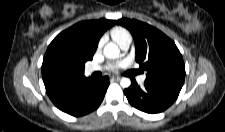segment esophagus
<instances>
[{"mask_svg": "<svg viewBox=\"0 0 225 132\" xmlns=\"http://www.w3.org/2000/svg\"><path fill=\"white\" fill-rule=\"evenodd\" d=\"M121 78L120 77H118V76H112L111 77V80L112 81H119Z\"/></svg>", "mask_w": 225, "mask_h": 132, "instance_id": "esophagus-1", "label": "esophagus"}]
</instances>
